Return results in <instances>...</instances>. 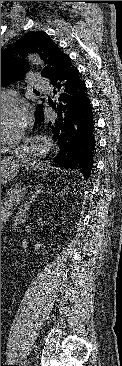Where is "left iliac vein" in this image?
Returning <instances> with one entry per match:
<instances>
[{
	"mask_svg": "<svg viewBox=\"0 0 122 366\" xmlns=\"http://www.w3.org/2000/svg\"><path fill=\"white\" fill-rule=\"evenodd\" d=\"M28 363H29V360H28V359H25V360H24V362H23V365H24V366H27V365H28Z\"/></svg>",
	"mask_w": 122,
	"mask_h": 366,
	"instance_id": "left-iliac-vein-1",
	"label": "left iliac vein"
}]
</instances>
